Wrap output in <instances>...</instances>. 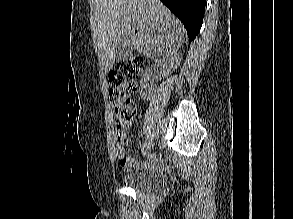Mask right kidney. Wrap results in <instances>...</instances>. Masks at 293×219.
<instances>
[{
    "instance_id": "obj_1",
    "label": "right kidney",
    "mask_w": 293,
    "mask_h": 219,
    "mask_svg": "<svg viewBox=\"0 0 293 219\" xmlns=\"http://www.w3.org/2000/svg\"><path fill=\"white\" fill-rule=\"evenodd\" d=\"M179 60H180L179 57L175 58L173 57L172 54L163 56L162 59L160 60L162 76L168 77V75L171 74L173 70L175 69V67L177 66ZM149 72L150 71L146 69L140 81V87H141L140 94L143 97H147L152 89V87L148 84V81L150 80Z\"/></svg>"
}]
</instances>
